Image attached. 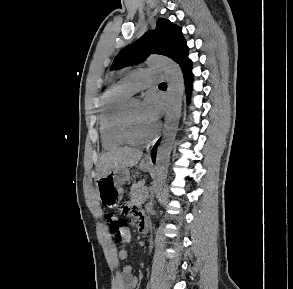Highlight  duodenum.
I'll return each mask as SVG.
<instances>
[{"label": "duodenum", "instance_id": "1", "mask_svg": "<svg viewBox=\"0 0 293 289\" xmlns=\"http://www.w3.org/2000/svg\"><path fill=\"white\" fill-rule=\"evenodd\" d=\"M140 230L143 234H146L149 230V225L145 218L141 219L140 221Z\"/></svg>", "mask_w": 293, "mask_h": 289}]
</instances>
